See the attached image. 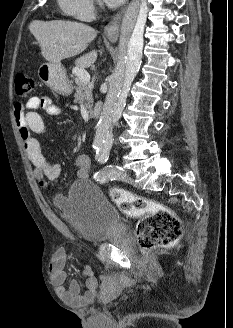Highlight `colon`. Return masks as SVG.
<instances>
[{
    "label": "colon",
    "instance_id": "1",
    "mask_svg": "<svg viewBox=\"0 0 233 328\" xmlns=\"http://www.w3.org/2000/svg\"><path fill=\"white\" fill-rule=\"evenodd\" d=\"M14 82L19 98L28 97L34 90V79L26 73H17ZM110 195L122 213L140 219L136 237L143 250L167 247L180 238L182 225L172 210L120 189L111 190Z\"/></svg>",
    "mask_w": 233,
    "mask_h": 328
}]
</instances>
